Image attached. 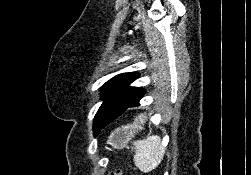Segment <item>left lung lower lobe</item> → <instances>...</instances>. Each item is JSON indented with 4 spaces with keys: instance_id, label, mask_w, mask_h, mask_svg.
<instances>
[{
    "instance_id": "0a47b994",
    "label": "left lung lower lobe",
    "mask_w": 251,
    "mask_h": 175,
    "mask_svg": "<svg viewBox=\"0 0 251 175\" xmlns=\"http://www.w3.org/2000/svg\"><path fill=\"white\" fill-rule=\"evenodd\" d=\"M145 90L142 88H137L130 100L126 104H110L103 107L98 111V118L101 119L104 124L108 125L112 121L119 117L129 115V114H139L142 110L131 109L133 107L140 106L139 101L143 97Z\"/></svg>"
}]
</instances>
